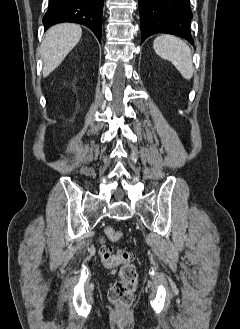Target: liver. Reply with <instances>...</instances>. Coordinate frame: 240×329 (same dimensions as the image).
<instances>
[{
	"instance_id": "1",
	"label": "liver",
	"mask_w": 240,
	"mask_h": 329,
	"mask_svg": "<svg viewBox=\"0 0 240 329\" xmlns=\"http://www.w3.org/2000/svg\"><path fill=\"white\" fill-rule=\"evenodd\" d=\"M81 36V27L72 23L55 25L45 33L40 50L43 60V77H47L62 63L80 41Z\"/></svg>"
}]
</instances>
